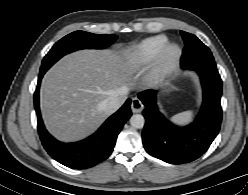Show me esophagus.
Listing matches in <instances>:
<instances>
[{
  "label": "esophagus",
  "instance_id": "esophagus-1",
  "mask_svg": "<svg viewBox=\"0 0 248 195\" xmlns=\"http://www.w3.org/2000/svg\"><path fill=\"white\" fill-rule=\"evenodd\" d=\"M144 108V105L140 99L137 97L132 99L131 110L133 113H140Z\"/></svg>",
  "mask_w": 248,
  "mask_h": 195
}]
</instances>
